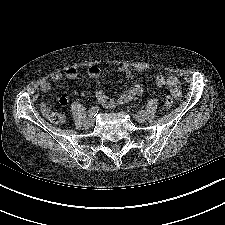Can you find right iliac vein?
I'll return each mask as SVG.
<instances>
[{
	"instance_id": "1",
	"label": "right iliac vein",
	"mask_w": 225,
	"mask_h": 225,
	"mask_svg": "<svg viewBox=\"0 0 225 225\" xmlns=\"http://www.w3.org/2000/svg\"><path fill=\"white\" fill-rule=\"evenodd\" d=\"M93 125V119L92 118H88L85 122H84V127L85 128H90Z\"/></svg>"
}]
</instances>
